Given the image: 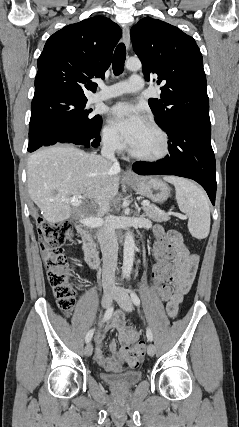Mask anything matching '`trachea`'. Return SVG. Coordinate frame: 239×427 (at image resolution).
<instances>
[{
  "label": "trachea",
  "mask_w": 239,
  "mask_h": 427,
  "mask_svg": "<svg viewBox=\"0 0 239 427\" xmlns=\"http://www.w3.org/2000/svg\"><path fill=\"white\" fill-rule=\"evenodd\" d=\"M125 58H126V48L123 43H120L116 47L113 55L112 67H113V73L115 76H118L123 72Z\"/></svg>",
  "instance_id": "trachea-1"
}]
</instances>
